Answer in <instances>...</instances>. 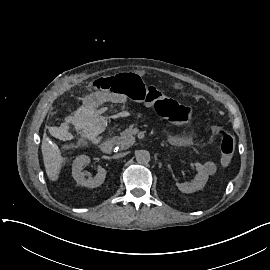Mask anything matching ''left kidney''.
<instances>
[{
    "label": "left kidney",
    "mask_w": 270,
    "mask_h": 270,
    "mask_svg": "<svg viewBox=\"0 0 270 270\" xmlns=\"http://www.w3.org/2000/svg\"><path fill=\"white\" fill-rule=\"evenodd\" d=\"M195 166L198 174L192 182L176 183L178 189L183 193H193L197 190H201L208 181L209 175L204 166L200 163H195Z\"/></svg>",
    "instance_id": "5707ae66"
}]
</instances>
